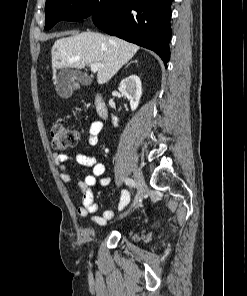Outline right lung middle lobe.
Wrapping results in <instances>:
<instances>
[{
	"label": "right lung middle lobe",
	"mask_w": 247,
	"mask_h": 296,
	"mask_svg": "<svg viewBox=\"0 0 247 296\" xmlns=\"http://www.w3.org/2000/svg\"><path fill=\"white\" fill-rule=\"evenodd\" d=\"M111 0H47L46 25L49 30L60 20L77 21L104 12Z\"/></svg>",
	"instance_id": "obj_1"
}]
</instances>
